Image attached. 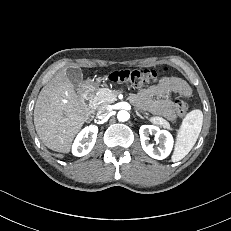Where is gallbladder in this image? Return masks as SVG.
Instances as JSON below:
<instances>
[{
	"instance_id": "bac80fb5",
	"label": "gallbladder",
	"mask_w": 231,
	"mask_h": 231,
	"mask_svg": "<svg viewBox=\"0 0 231 231\" xmlns=\"http://www.w3.org/2000/svg\"><path fill=\"white\" fill-rule=\"evenodd\" d=\"M67 77L74 88H78L82 83L83 73L80 68H68L66 70Z\"/></svg>"
}]
</instances>
